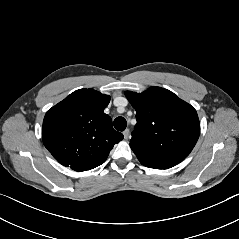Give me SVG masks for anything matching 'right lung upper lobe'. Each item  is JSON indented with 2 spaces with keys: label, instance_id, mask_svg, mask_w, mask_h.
<instances>
[{
  "label": "right lung upper lobe",
  "instance_id": "right-lung-upper-lobe-1",
  "mask_svg": "<svg viewBox=\"0 0 239 239\" xmlns=\"http://www.w3.org/2000/svg\"><path fill=\"white\" fill-rule=\"evenodd\" d=\"M110 96L80 89L49 109L43 120L45 147L62 165L81 172L101 165L123 135L104 113Z\"/></svg>",
  "mask_w": 239,
  "mask_h": 239
}]
</instances>
